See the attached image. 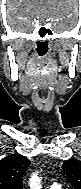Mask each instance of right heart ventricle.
<instances>
[{
    "mask_svg": "<svg viewBox=\"0 0 81 189\" xmlns=\"http://www.w3.org/2000/svg\"><path fill=\"white\" fill-rule=\"evenodd\" d=\"M49 189H57V188H52V187H50ZM59 189H61V188H59Z\"/></svg>",
    "mask_w": 81,
    "mask_h": 189,
    "instance_id": "1",
    "label": "right heart ventricle"
}]
</instances>
